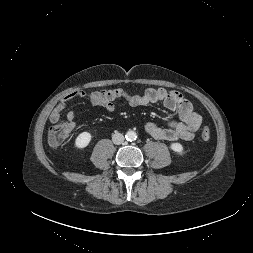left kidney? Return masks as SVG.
Returning <instances> with one entry per match:
<instances>
[{
	"instance_id": "left-kidney-1",
	"label": "left kidney",
	"mask_w": 253,
	"mask_h": 253,
	"mask_svg": "<svg viewBox=\"0 0 253 253\" xmlns=\"http://www.w3.org/2000/svg\"><path fill=\"white\" fill-rule=\"evenodd\" d=\"M170 148L179 155H183L185 153L183 146L180 143H171Z\"/></svg>"
}]
</instances>
